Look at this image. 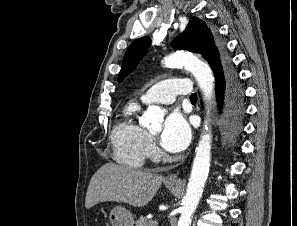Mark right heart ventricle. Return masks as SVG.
<instances>
[{"label": "right heart ventricle", "mask_w": 297, "mask_h": 226, "mask_svg": "<svg viewBox=\"0 0 297 226\" xmlns=\"http://www.w3.org/2000/svg\"><path fill=\"white\" fill-rule=\"evenodd\" d=\"M140 106L129 102L111 133L114 159L121 165L141 167L147 157L149 134L137 120Z\"/></svg>", "instance_id": "obj_1"}]
</instances>
